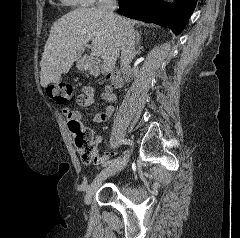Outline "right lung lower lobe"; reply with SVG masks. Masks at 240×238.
I'll list each match as a JSON object with an SVG mask.
<instances>
[{"instance_id":"1","label":"right lung lower lobe","mask_w":240,"mask_h":238,"mask_svg":"<svg viewBox=\"0 0 240 238\" xmlns=\"http://www.w3.org/2000/svg\"><path fill=\"white\" fill-rule=\"evenodd\" d=\"M197 0H176L166 5L162 0H120L119 13L147 23L168 26L179 34L193 13Z\"/></svg>"}]
</instances>
